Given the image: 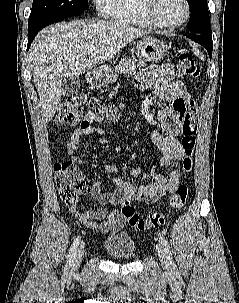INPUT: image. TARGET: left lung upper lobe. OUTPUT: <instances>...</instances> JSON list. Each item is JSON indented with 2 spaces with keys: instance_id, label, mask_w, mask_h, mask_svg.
I'll list each match as a JSON object with an SVG mask.
<instances>
[{
  "instance_id": "1",
  "label": "left lung upper lobe",
  "mask_w": 239,
  "mask_h": 303,
  "mask_svg": "<svg viewBox=\"0 0 239 303\" xmlns=\"http://www.w3.org/2000/svg\"><path fill=\"white\" fill-rule=\"evenodd\" d=\"M191 15L187 30L191 34H212L207 0H187Z\"/></svg>"
}]
</instances>
